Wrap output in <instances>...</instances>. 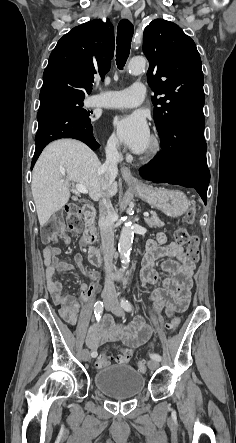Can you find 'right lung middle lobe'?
<instances>
[{"label": "right lung middle lobe", "mask_w": 236, "mask_h": 443, "mask_svg": "<svg viewBox=\"0 0 236 443\" xmlns=\"http://www.w3.org/2000/svg\"><path fill=\"white\" fill-rule=\"evenodd\" d=\"M85 96L73 94H56L47 99H56L69 106L75 113L85 119H90V112L82 108Z\"/></svg>", "instance_id": "right-lung-middle-lobe-1"}]
</instances>
